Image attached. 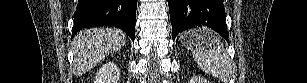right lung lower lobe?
Returning a JSON list of instances; mask_svg holds the SVG:
<instances>
[{
    "label": "right lung lower lobe",
    "mask_w": 307,
    "mask_h": 83,
    "mask_svg": "<svg viewBox=\"0 0 307 83\" xmlns=\"http://www.w3.org/2000/svg\"><path fill=\"white\" fill-rule=\"evenodd\" d=\"M137 0H78L73 36L81 29L114 26L134 42Z\"/></svg>",
    "instance_id": "1"
}]
</instances>
